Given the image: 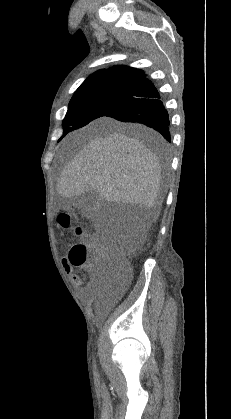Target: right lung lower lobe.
Segmentation results:
<instances>
[{"label":"right lung lower lobe","mask_w":231,"mask_h":419,"mask_svg":"<svg viewBox=\"0 0 231 419\" xmlns=\"http://www.w3.org/2000/svg\"><path fill=\"white\" fill-rule=\"evenodd\" d=\"M105 116L123 122L141 123L158 131L171 141L169 117L154 85L145 77L138 82L132 93Z\"/></svg>","instance_id":"98d812e1"}]
</instances>
